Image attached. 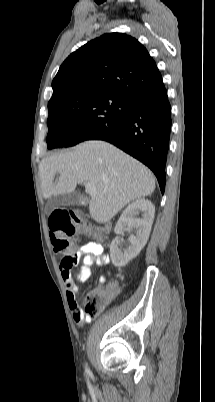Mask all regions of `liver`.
Here are the masks:
<instances>
[{
    "label": "liver",
    "instance_id": "6515ba94",
    "mask_svg": "<svg viewBox=\"0 0 215 402\" xmlns=\"http://www.w3.org/2000/svg\"><path fill=\"white\" fill-rule=\"evenodd\" d=\"M57 174L58 183L54 182ZM39 175L45 199L72 193L77 184H93L96 195L91 196L89 211L100 224L155 189V178L146 166L104 141H86L71 151L44 158Z\"/></svg>",
    "mask_w": 215,
    "mask_h": 402
}]
</instances>
